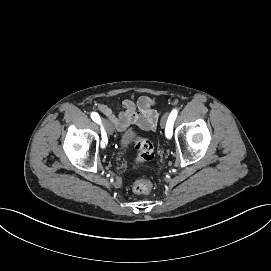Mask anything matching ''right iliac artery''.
Segmentation results:
<instances>
[{"label":"right iliac artery","mask_w":271,"mask_h":271,"mask_svg":"<svg viewBox=\"0 0 271 271\" xmlns=\"http://www.w3.org/2000/svg\"><path fill=\"white\" fill-rule=\"evenodd\" d=\"M91 118H92V120H93L94 122L100 124L101 119H100V116H99V114H98L97 112H92V113H91ZM101 131H102V134H104V136L106 137L105 131H104L103 129H101ZM104 149H105V150H108V149H109V141H108V140H105V141H104Z\"/></svg>","instance_id":"82829eb1"}]
</instances>
